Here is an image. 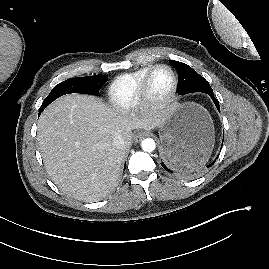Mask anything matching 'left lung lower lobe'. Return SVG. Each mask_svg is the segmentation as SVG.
Segmentation results:
<instances>
[{"mask_svg": "<svg viewBox=\"0 0 269 269\" xmlns=\"http://www.w3.org/2000/svg\"><path fill=\"white\" fill-rule=\"evenodd\" d=\"M206 94H208L212 98L217 109L220 111V106H219L218 100L214 97L213 92L206 93ZM161 155H162L161 165L166 171H168L170 173H181V174L184 173V174L189 175V176H195L199 172L198 167L186 170L179 164L180 155H179L177 149L175 148V146H173V145L168 146L166 151L164 153H162ZM213 164H214V162L207 165V167H211Z\"/></svg>", "mask_w": 269, "mask_h": 269, "instance_id": "obj_1", "label": "left lung lower lobe"}]
</instances>
